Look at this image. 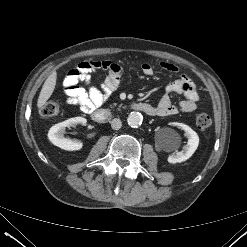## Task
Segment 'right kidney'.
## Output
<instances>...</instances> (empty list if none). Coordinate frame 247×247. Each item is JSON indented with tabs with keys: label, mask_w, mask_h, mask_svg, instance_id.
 Instances as JSON below:
<instances>
[{
	"label": "right kidney",
	"mask_w": 247,
	"mask_h": 247,
	"mask_svg": "<svg viewBox=\"0 0 247 247\" xmlns=\"http://www.w3.org/2000/svg\"><path fill=\"white\" fill-rule=\"evenodd\" d=\"M87 120L83 117H73L63 122L52 126L48 132L49 140L57 147L68 150L76 151L82 149V142L78 140L68 139L64 137L66 127L76 126L77 124H86Z\"/></svg>",
	"instance_id": "ca27d5eb"
}]
</instances>
